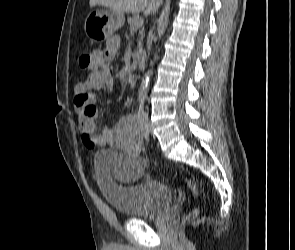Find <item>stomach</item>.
Returning a JSON list of instances; mask_svg holds the SVG:
<instances>
[{
	"mask_svg": "<svg viewBox=\"0 0 295 250\" xmlns=\"http://www.w3.org/2000/svg\"><path fill=\"white\" fill-rule=\"evenodd\" d=\"M124 22V13L109 8L99 9L88 15L84 29L92 40H107Z\"/></svg>",
	"mask_w": 295,
	"mask_h": 250,
	"instance_id": "obj_1",
	"label": "stomach"
}]
</instances>
